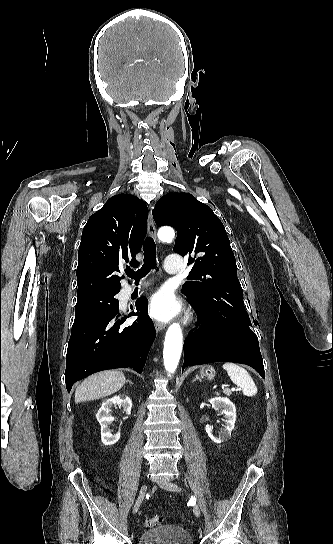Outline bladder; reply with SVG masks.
I'll return each instance as SVG.
<instances>
[{"instance_id": "bladder-1", "label": "bladder", "mask_w": 333, "mask_h": 544, "mask_svg": "<svg viewBox=\"0 0 333 544\" xmlns=\"http://www.w3.org/2000/svg\"><path fill=\"white\" fill-rule=\"evenodd\" d=\"M138 544H193V539L182 527L164 525L144 531Z\"/></svg>"}]
</instances>
